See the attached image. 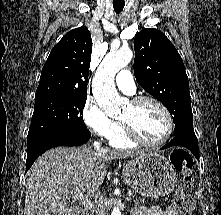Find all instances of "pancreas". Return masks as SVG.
Returning a JSON list of instances; mask_svg holds the SVG:
<instances>
[{
    "label": "pancreas",
    "instance_id": "cf45deb5",
    "mask_svg": "<svg viewBox=\"0 0 221 215\" xmlns=\"http://www.w3.org/2000/svg\"><path fill=\"white\" fill-rule=\"evenodd\" d=\"M131 200H133L135 206H138V205L144 203V199H142L140 196L136 195V193H134V192L131 195Z\"/></svg>",
    "mask_w": 221,
    "mask_h": 215
}]
</instances>
